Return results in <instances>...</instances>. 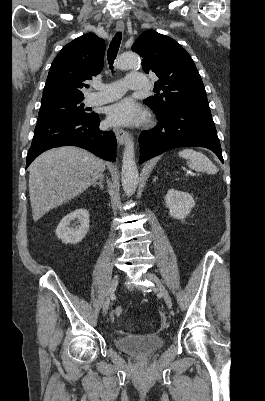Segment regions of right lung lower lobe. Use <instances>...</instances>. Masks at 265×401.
Segmentation results:
<instances>
[{"instance_id":"98d812e1","label":"right lung lower lobe","mask_w":265,"mask_h":401,"mask_svg":"<svg viewBox=\"0 0 265 401\" xmlns=\"http://www.w3.org/2000/svg\"><path fill=\"white\" fill-rule=\"evenodd\" d=\"M98 114L82 118L49 117L37 121L26 168L44 151L66 145L84 148L95 155L116 160V137L112 131L99 130Z\"/></svg>"}]
</instances>
